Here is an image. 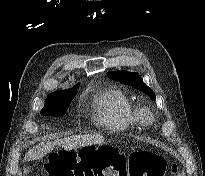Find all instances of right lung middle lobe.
Instances as JSON below:
<instances>
[{
  "mask_svg": "<svg viewBox=\"0 0 205 176\" xmlns=\"http://www.w3.org/2000/svg\"><path fill=\"white\" fill-rule=\"evenodd\" d=\"M76 91L77 89L70 92H61L47 96L45 105L41 110V114L53 117L63 115L68 109L71 100L76 94Z\"/></svg>",
  "mask_w": 205,
  "mask_h": 176,
  "instance_id": "right-lung-middle-lobe-1",
  "label": "right lung middle lobe"
}]
</instances>
